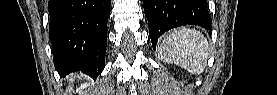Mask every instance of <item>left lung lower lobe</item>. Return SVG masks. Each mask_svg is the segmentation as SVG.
Segmentation results:
<instances>
[{
    "instance_id": "left-lung-lower-lobe-1",
    "label": "left lung lower lobe",
    "mask_w": 277,
    "mask_h": 95,
    "mask_svg": "<svg viewBox=\"0 0 277 95\" xmlns=\"http://www.w3.org/2000/svg\"><path fill=\"white\" fill-rule=\"evenodd\" d=\"M143 6L154 49L158 38L171 28L190 24L211 28L205 0H143Z\"/></svg>"
}]
</instances>
